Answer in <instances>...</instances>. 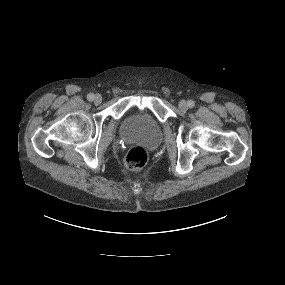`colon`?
<instances>
[{
    "label": "colon",
    "instance_id": "colon-1",
    "mask_svg": "<svg viewBox=\"0 0 285 285\" xmlns=\"http://www.w3.org/2000/svg\"><path fill=\"white\" fill-rule=\"evenodd\" d=\"M148 158L149 154L145 148L134 146L126 153L124 163L128 170L138 171L146 165Z\"/></svg>",
    "mask_w": 285,
    "mask_h": 285
}]
</instances>
